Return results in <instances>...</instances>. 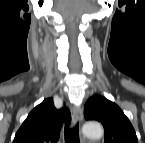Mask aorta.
I'll return each instance as SVG.
<instances>
[{
    "instance_id": "1",
    "label": "aorta",
    "mask_w": 145,
    "mask_h": 143,
    "mask_svg": "<svg viewBox=\"0 0 145 143\" xmlns=\"http://www.w3.org/2000/svg\"><path fill=\"white\" fill-rule=\"evenodd\" d=\"M83 133L89 138H100L103 135V128L97 122H86L83 127Z\"/></svg>"
}]
</instances>
